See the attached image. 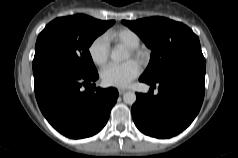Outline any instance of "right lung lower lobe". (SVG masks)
<instances>
[{"instance_id":"right-lung-lower-lobe-1","label":"right lung lower lobe","mask_w":238,"mask_h":158,"mask_svg":"<svg viewBox=\"0 0 238 158\" xmlns=\"http://www.w3.org/2000/svg\"><path fill=\"white\" fill-rule=\"evenodd\" d=\"M32 66L38 105L57 131L80 139L98 133L106 125L118 91L96 88L98 73L85 76L48 59Z\"/></svg>"}]
</instances>
